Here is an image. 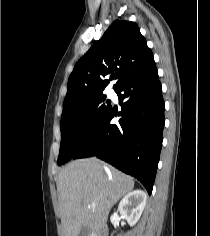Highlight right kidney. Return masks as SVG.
Masks as SVG:
<instances>
[{
	"label": "right kidney",
	"instance_id": "obj_1",
	"mask_svg": "<svg viewBox=\"0 0 210 236\" xmlns=\"http://www.w3.org/2000/svg\"><path fill=\"white\" fill-rule=\"evenodd\" d=\"M146 193L140 189L129 192L119 203L118 211L130 226L137 223L146 205Z\"/></svg>",
	"mask_w": 210,
	"mask_h": 236
}]
</instances>
